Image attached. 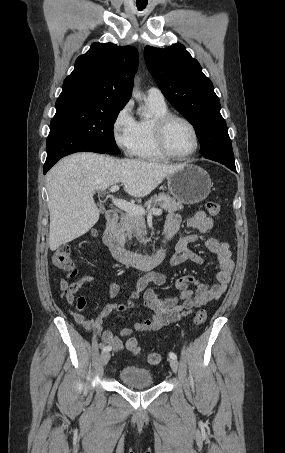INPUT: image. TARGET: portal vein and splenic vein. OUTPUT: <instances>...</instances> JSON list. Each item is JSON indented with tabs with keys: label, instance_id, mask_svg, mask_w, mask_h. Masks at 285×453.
<instances>
[{
	"label": "portal vein and splenic vein",
	"instance_id": "1",
	"mask_svg": "<svg viewBox=\"0 0 285 453\" xmlns=\"http://www.w3.org/2000/svg\"><path fill=\"white\" fill-rule=\"evenodd\" d=\"M118 190H119V186L118 185H113L110 188V192L111 193H114V192H116ZM112 202L114 203L115 206H117L121 210H124L127 213L137 214V215H141V216L145 215V213H146V211L141 206H138V205H135V204H131L130 202H127V201L122 200V199H118V198L112 197ZM150 213H152L154 215H161L162 214V210L153 208V209L150 210Z\"/></svg>",
	"mask_w": 285,
	"mask_h": 453
}]
</instances>
